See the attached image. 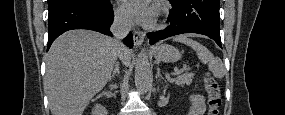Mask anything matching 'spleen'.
Instances as JSON below:
<instances>
[{
	"label": "spleen",
	"mask_w": 285,
	"mask_h": 115,
	"mask_svg": "<svg viewBox=\"0 0 285 115\" xmlns=\"http://www.w3.org/2000/svg\"><path fill=\"white\" fill-rule=\"evenodd\" d=\"M174 41L190 46L196 52L199 60L204 64H208V68L215 78L221 79L224 77L226 70L223 62L220 58L214 57V55L204 45L188 38L187 35L178 36L174 38Z\"/></svg>",
	"instance_id": "obj_1"
}]
</instances>
